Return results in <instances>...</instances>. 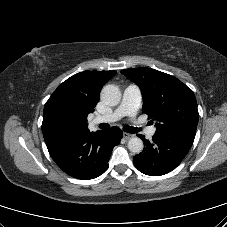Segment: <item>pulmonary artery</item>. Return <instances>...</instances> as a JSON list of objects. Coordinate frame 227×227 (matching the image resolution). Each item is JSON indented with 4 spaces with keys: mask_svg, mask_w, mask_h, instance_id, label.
I'll use <instances>...</instances> for the list:
<instances>
[{
    "mask_svg": "<svg viewBox=\"0 0 227 227\" xmlns=\"http://www.w3.org/2000/svg\"><path fill=\"white\" fill-rule=\"evenodd\" d=\"M141 102V92L138 86L131 84L127 86L123 91V97L120 105L111 113L97 116L94 119V123L101 122H114L122 117L128 116L131 119H135L137 109ZM156 132V127L152 126L147 128L146 134L152 137Z\"/></svg>",
    "mask_w": 227,
    "mask_h": 227,
    "instance_id": "pulmonary-artery-1",
    "label": "pulmonary artery"
}]
</instances>
